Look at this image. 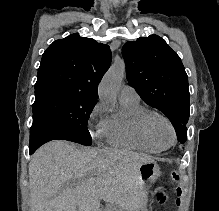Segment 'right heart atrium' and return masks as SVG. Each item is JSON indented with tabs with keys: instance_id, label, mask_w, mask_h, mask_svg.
Returning a JSON list of instances; mask_svg holds the SVG:
<instances>
[{
	"instance_id": "d8ad5b80",
	"label": "right heart atrium",
	"mask_w": 219,
	"mask_h": 211,
	"mask_svg": "<svg viewBox=\"0 0 219 211\" xmlns=\"http://www.w3.org/2000/svg\"><path fill=\"white\" fill-rule=\"evenodd\" d=\"M106 114L107 107L104 102L100 101L93 106L88 115V124L95 129V139H100L107 135L108 117Z\"/></svg>"
}]
</instances>
